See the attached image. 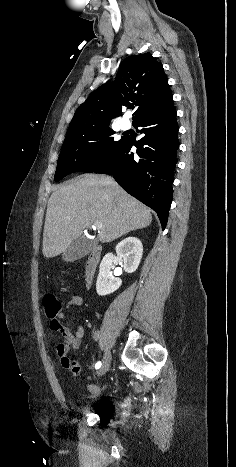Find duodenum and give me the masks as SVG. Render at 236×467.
<instances>
[{
  "mask_svg": "<svg viewBox=\"0 0 236 467\" xmlns=\"http://www.w3.org/2000/svg\"><path fill=\"white\" fill-rule=\"evenodd\" d=\"M102 255V247L99 244H93L85 265L84 270V283L89 287L96 275Z\"/></svg>",
  "mask_w": 236,
  "mask_h": 467,
  "instance_id": "410a0bca",
  "label": "duodenum"
}]
</instances>
